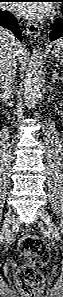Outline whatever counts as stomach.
Masks as SVG:
<instances>
[{"mask_svg":"<svg viewBox=\"0 0 63 297\" xmlns=\"http://www.w3.org/2000/svg\"><path fill=\"white\" fill-rule=\"evenodd\" d=\"M53 59L63 62V40L57 41L51 51Z\"/></svg>","mask_w":63,"mask_h":297,"instance_id":"0dacf381","label":"stomach"}]
</instances>
